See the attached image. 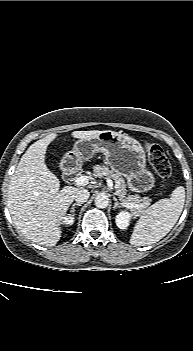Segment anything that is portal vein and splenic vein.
Listing matches in <instances>:
<instances>
[{
    "label": "portal vein and splenic vein",
    "mask_w": 193,
    "mask_h": 351,
    "mask_svg": "<svg viewBox=\"0 0 193 351\" xmlns=\"http://www.w3.org/2000/svg\"><path fill=\"white\" fill-rule=\"evenodd\" d=\"M74 182L76 185H79V186H85L89 183V177L88 176H80V177H76L74 179ZM107 185L110 189H113V182L111 179H107ZM125 207H128V208H136L137 206L134 205V204H131V203H128L126 204L125 203Z\"/></svg>",
    "instance_id": "portal-vein-and-splenic-vein-1"
}]
</instances>
